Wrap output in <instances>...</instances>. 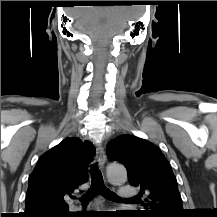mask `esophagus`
<instances>
[{
	"mask_svg": "<svg viewBox=\"0 0 217 217\" xmlns=\"http://www.w3.org/2000/svg\"><path fill=\"white\" fill-rule=\"evenodd\" d=\"M96 160L98 162L99 167L103 170L106 161V155L102 144H97Z\"/></svg>",
	"mask_w": 217,
	"mask_h": 217,
	"instance_id": "obj_1",
	"label": "esophagus"
}]
</instances>
